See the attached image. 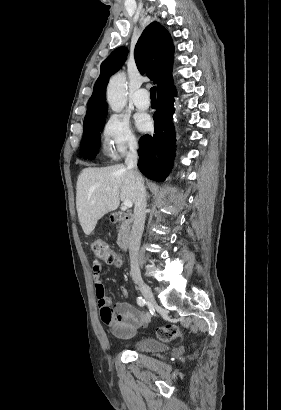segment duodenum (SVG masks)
Instances as JSON below:
<instances>
[{
    "mask_svg": "<svg viewBox=\"0 0 281 410\" xmlns=\"http://www.w3.org/2000/svg\"><path fill=\"white\" fill-rule=\"evenodd\" d=\"M111 219L113 222H123L125 224H129L133 221V215L129 213H124L121 211L113 212ZM130 232L127 230L123 233L120 239V248L122 251H127L130 244Z\"/></svg>",
    "mask_w": 281,
    "mask_h": 410,
    "instance_id": "obj_1",
    "label": "duodenum"
}]
</instances>
